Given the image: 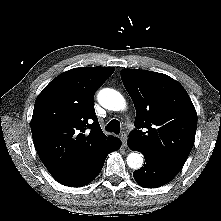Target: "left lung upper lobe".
<instances>
[{
	"mask_svg": "<svg viewBox=\"0 0 221 221\" xmlns=\"http://www.w3.org/2000/svg\"><path fill=\"white\" fill-rule=\"evenodd\" d=\"M122 82L135 109L137 129L128 142L160 161L181 168L194 145L197 114L182 85L147 70L124 69Z\"/></svg>",
	"mask_w": 221,
	"mask_h": 221,
	"instance_id": "5c2ea615",
	"label": "left lung upper lobe"
}]
</instances>
